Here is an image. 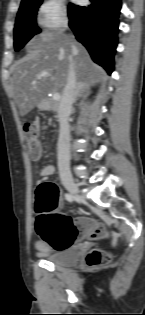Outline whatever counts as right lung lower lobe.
Segmentation results:
<instances>
[{
    "instance_id": "right-lung-lower-lobe-1",
    "label": "right lung lower lobe",
    "mask_w": 145,
    "mask_h": 315,
    "mask_svg": "<svg viewBox=\"0 0 145 315\" xmlns=\"http://www.w3.org/2000/svg\"><path fill=\"white\" fill-rule=\"evenodd\" d=\"M90 1L87 7L73 4L68 7L69 26L92 59L111 73L114 69L121 0Z\"/></svg>"
}]
</instances>
